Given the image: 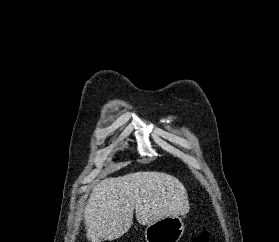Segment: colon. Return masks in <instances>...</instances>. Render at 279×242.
Masks as SVG:
<instances>
[{
    "label": "colon",
    "mask_w": 279,
    "mask_h": 242,
    "mask_svg": "<svg viewBox=\"0 0 279 242\" xmlns=\"http://www.w3.org/2000/svg\"><path fill=\"white\" fill-rule=\"evenodd\" d=\"M209 240H210V233L209 231L204 230L203 232H201L200 235L192 239L191 242H209Z\"/></svg>",
    "instance_id": "5ec220e1"
}]
</instances>
